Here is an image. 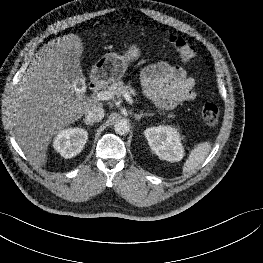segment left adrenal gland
<instances>
[{"mask_svg": "<svg viewBox=\"0 0 263 263\" xmlns=\"http://www.w3.org/2000/svg\"><path fill=\"white\" fill-rule=\"evenodd\" d=\"M153 114L151 113H143V112H140V114H135L134 117L136 120H140L142 117L144 116H152Z\"/></svg>", "mask_w": 263, "mask_h": 263, "instance_id": "1", "label": "left adrenal gland"}]
</instances>
